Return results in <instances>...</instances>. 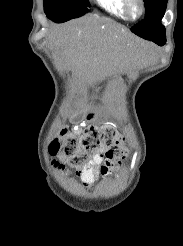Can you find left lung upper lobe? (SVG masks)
<instances>
[{
	"instance_id": "obj_1",
	"label": "left lung upper lobe",
	"mask_w": 183,
	"mask_h": 246,
	"mask_svg": "<svg viewBox=\"0 0 183 246\" xmlns=\"http://www.w3.org/2000/svg\"><path fill=\"white\" fill-rule=\"evenodd\" d=\"M145 3V19L131 27L136 35L152 40V38L165 37V28L161 24L168 0H143Z\"/></svg>"
}]
</instances>
